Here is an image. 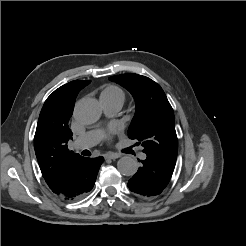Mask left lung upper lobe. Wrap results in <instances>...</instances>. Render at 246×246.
Listing matches in <instances>:
<instances>
[{"label": "left lung upper lobe", "instance_id": "obj_1", "mask_svg": "<svg viewBox=\"0 0 246 246\" xmlns=\"http://www.w3.org/2000/svg\"><path fill=\"white\" fill-rule=\"evenodd\" d=\"M109 80L126 88L136 102L128 137L142 142L143 152L167 164H176L178 139L173 109L162 88L148 77L128 73Z\"/></svg>", "mask_w": 246, "mask_h": 246}]
</instances>
